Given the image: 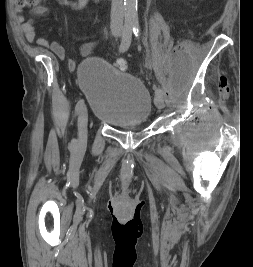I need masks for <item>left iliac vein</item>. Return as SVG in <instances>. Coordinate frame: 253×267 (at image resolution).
<instances>
[{"mask_svg": "<svg viewBox=\"0 0 253 267\" xmlns=\"http://www.w3.org/2000/svg\"><path fill=\"white\" fill-rule=\"evenodd\" d=\"M164 99H165V93L164 92H163V94L159 93V94L155 95L154 103L159 110H161L164 107Z\"/></svg>", "mask_w": 253, "mask_h": 267, "instance_id": "4c4485c4", "label": "left iliac vein"}]
</instances>
